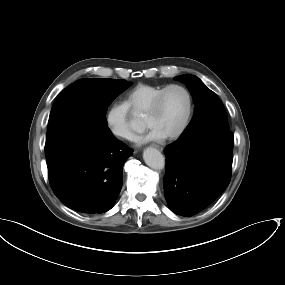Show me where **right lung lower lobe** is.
<instances>
[{"label": "right lung lower lobe", "instance_id": "obj_1", "mask_svg": "<svg viewBox=\"0 0 285 285\" xmlns=\"http://www.w3.org/2000/svg\"><path fill=\"white\" fill-rule=\"evenodd\" d=\"M130 155L132 150L93 118L71 122L45 144L54 194L69 208L86 214L104 213L115 205Z\"/></svg>", "mask_w": 285, "mask_h": 285}]
</instances>
